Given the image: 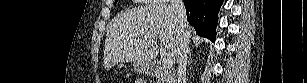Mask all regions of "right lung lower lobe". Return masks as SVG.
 <instances>
[{
    "instance_id": "obj_1",
    "label": "right lung lower lobe",
    "mask_w": 307,
    "mask_h": 83,
    "mask_svg": "<svg viewBox=\"0 0 307 83\" xmlns=\"http://www.w3.org/2000/svg\"><path fill=\"white\" fill-rule=\"evenodd\" d=\"M187 20L201 37L215 41L218 11L222 0H183Z\"/></svg>"
}]
</instances>
